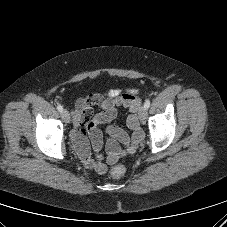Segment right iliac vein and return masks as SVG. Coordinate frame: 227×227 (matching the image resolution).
I'll return each instance as SVG.
<instances>
[{
    "mask_svg": "<svg viewBox=\"0 0 227 227\" xmlns=\"http://www.w3.org/2000/svg\"><path fill=\"white\" fill-rule=\"evenodd\" d=\"M61 117L64 120V122L70 123V114H69V112L67 110H63L61 112Z\"/></svg>",
    "mask_w": 227,
    "mask_h": 227,
    "instance_id": "63e3f726",
    "label": "right iliac vein"
}]
</instances>
